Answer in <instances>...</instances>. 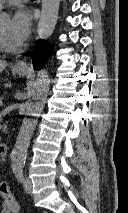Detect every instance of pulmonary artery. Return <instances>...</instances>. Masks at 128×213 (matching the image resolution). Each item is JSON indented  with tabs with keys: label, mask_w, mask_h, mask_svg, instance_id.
<instances>
[{
	"label": "pulmonary artery",
	"mask_w": 128,
	"mask_h": 213,
	"mask_svg": "<svg viewBox=\"0 0 128 213\" xmlns=\"http://www.w3.org/2000/svg\"><path fill=\"white\" fill-rule=\"evenodd\" d=\"M4 1H5V0H0V9H1V7H2Z\"/></svg>",
	"instance_id": "pulmonary-artery-1"
}]
</instances>
